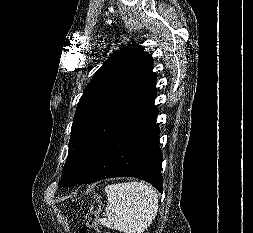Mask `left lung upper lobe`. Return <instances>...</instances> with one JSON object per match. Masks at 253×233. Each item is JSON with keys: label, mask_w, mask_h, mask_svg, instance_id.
<instances>
[{"label": "left lung upper lobe", "mask_w": 253, "mask_h": 233, "mask_svg": "<svg viewBox=\"0 0 253 233\" xmlns=\"http://www.w3.org/2000/svg\"><path fill=\"white\" fill-rule=\"evenodd\" d=\"M152 55L137 45L114 53L81 96L59 186L82 179L119 122L155 84Z\"/></svg>", "instance_id": "1"}]
</instances>
